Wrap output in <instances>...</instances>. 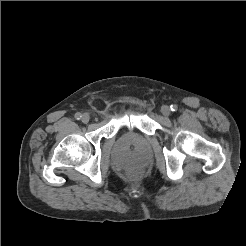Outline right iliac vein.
<instances>
[{"instance_id":"obj_1","label":"right iliac vein","mask_w":246,"mask_h":246,"mask_svg":"<svg viewBox=\"0 0 246 246\" xmlns=\"http://www.w3.org/2000/svg\"><path fill=\"white\" fill-rule=\"evenodd\" d=\"M81 121H82L83 123H85V124L88 123V122L90 121V116H89V114L84 113V114L82 115Z\"/></svg>"}]
</instances>
